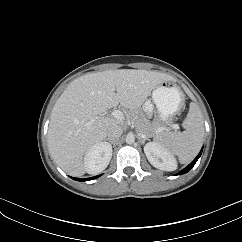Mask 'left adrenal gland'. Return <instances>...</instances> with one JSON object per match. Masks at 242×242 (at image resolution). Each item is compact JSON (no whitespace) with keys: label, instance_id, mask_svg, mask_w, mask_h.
I'll use <instances>...</instances> for the list:
<instances>
[{"label":"left adrenal gland","instance_id":"left-adrenal-gland-1","mask_svg":"<svg viewBox=\"0 0 242 242\" xmlns=\"http://www.w3.org/2000/svg\"><path fill=\"white\" fill-rule=\"evenodd\" d=\"M139 140H140V143L141 144H144L146 140H149L148 138H142V137H139Z\"/></svg>","mask_w":242,"mask_h":242}]
</instances>
